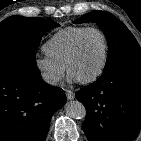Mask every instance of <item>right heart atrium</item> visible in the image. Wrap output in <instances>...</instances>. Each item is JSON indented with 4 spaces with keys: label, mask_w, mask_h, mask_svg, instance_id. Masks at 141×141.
I'll return each mask as SVG.
<instances>
[{
    "label": "right heart atrium",
    "mask_w": 141,
    "mask_h": 141,
    "mask_svg": "<svg viewBox=\"0 0 141 141\" xmlns=\"http://www.w3.org/2000/svg\"><path fill=\"white\" fill-rule=\"evenodd\" d=\"M34 64L42 80L50 86L57 85L64 76L65 66L55 62L47 55L37 56Z\"/></svg>",
    "instance_id": "d8ad5b80"
}]
</instances>
